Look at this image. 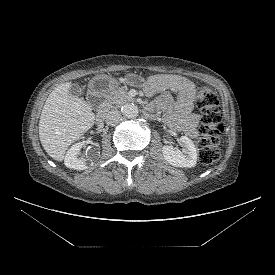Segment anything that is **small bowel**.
Returning a JSON list of instances; mask_svg holds the SVG:
<instances>
[{"label": "small bowel", "mask_w": 275, "mask_h": 275, "mask_svg": "<svg viewBox=\"0 0 275 275\" xmlns=\"http://www.w3.org/2000/svg\"><path fill=\"white\" fill-rule=\"evenodd\" d=\"M132 83L140 84L149 95L171 91L173 95L163 94L149 106L153 111L163 112L165 122L173 129L183 131L192 138L198 137L200 117L192 113L195 85L179 75H156L141 79L130 76Z\"/></svg>", "instance_id": "small-bowel-1"}]
</instances>
